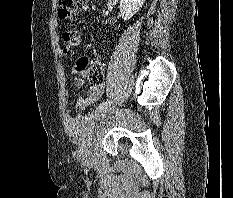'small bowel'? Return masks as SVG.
<instances>
[{
	"instance_id": "obj_1",
	"label": "small bowel",
	"mask_w": 233,
	"mask_h": 198,
	"mask_svg": "<svg viewBox=\"0 0 233 198\" xmlns=\"http://www.w3.org/2000/svg\"><path fill=\"white\" fill-rule=\"evenodd\" d=\"M80 59L84 60L83 64H78ZM89 64V59L87 57H80L77 60L75 71L78 73L75 83L77 87H81L83 85V78L86 75V68ZM103 94V86L100 85L98 87H91L85 97H78L76 99L75 105L79 109H86L90 105L97 102Z\"/></svg>"
}]
</instances>
